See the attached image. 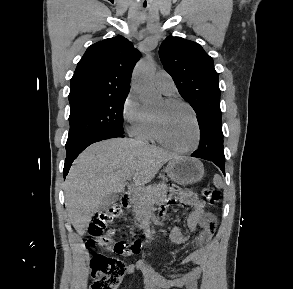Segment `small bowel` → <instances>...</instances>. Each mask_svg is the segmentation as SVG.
<instances>
[{
    "label": "small bowel",
    "mask_w": 293,
    "mask_h": 289,
    "mask_svg": "<svg viewBox=\"0 0 293 289\" xmlns=\"http://www.w3.org/2000/svg\"><path fill=\"white\" fill-rule=\"evenodd\" d=\"M184 202L193 208L187 219L188 233L185 234L177 226L170 231L169 237L176 244L186 243L189 234L200 226L201 232L192 241L193 250L184 258L182 264H192L191 270L170 275L158 274L149 264L148 260L137 262L129 266V270H140L145 276V289H199V281L205 263L207 246L216 227L215 216L205 210V203L196 194L186 192Z\"/></svg>",
    "instance_id": "obj_1"
}]
</instances>
